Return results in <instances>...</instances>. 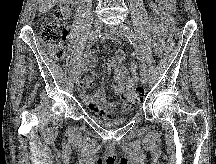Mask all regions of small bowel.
<instances>
[{
  "label": "small bowel",
  "instance_id": "obj_1",
  "mask_svg": "<svg viewBox=\"0 0 216 164\" xmlns=\"http://www.w3.org/2000/svg\"><path fill=\"white\" fill-rule=\"evenodd\" d=\"M151 6L155 13V16L151 21L153 30V46L157 54H161L166 28L170 23L172 14L175 10V0H152ZM124 61V51L121 49L117 50L112 59L115 80L112 89L117 96L121 97L119 102H108L106 100L103 85L92 93L89 92L94 80L92 74L87 75L80 82L79 92L81 99L91 112L102 118H109L129 109L125 96L126 92L137 83L138 73L135 62H131L128 67H125ZM89 65L90 62H87L83 68L87 69Z\"/></svg>",
  "mask_w": 216,
  "mask_h": 164
}]
</instances>
